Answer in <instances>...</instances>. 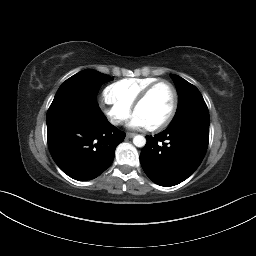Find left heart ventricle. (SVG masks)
I'll use <instances>...</instances> for the list:
<instances>
[{"label": "left heart ventricle", "mask_w": 256, "mask_h": 256, "mask_svg": "<svg viewBox=\"0 0 256 256\" xmlns=\"http://www.w3.org/2000/svg\"><path fill=\"white\" fill-rule=\"evenodd\" d=\"M173 102V93L166 84L156 87L146 101L137 108L135 114L147 126H152L162 121L169 113Z\"/></svg>", "instance_id": "b2bd125f"}]
</instances>
